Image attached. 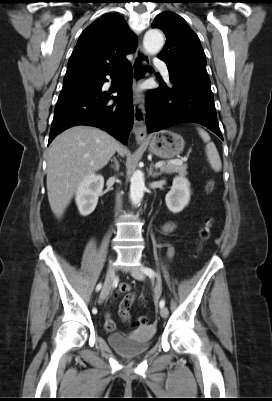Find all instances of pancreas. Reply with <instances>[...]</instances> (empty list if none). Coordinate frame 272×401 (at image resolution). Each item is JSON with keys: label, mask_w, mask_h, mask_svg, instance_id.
<instances>
[{"label": "pancreas", "mask_w": 272, "mask_h": 401, "mask_svg": "<svg viewBox=\"0 0 272 401\" xmlns=\"http://www.w3.org/2000/svg\"><path fill=\"white\" fill-rule=\"evenodd\" d=\"M161 173H178L180 175H186L187 174V164H171L167 163L164 164L162 167H160Z\"/></svg>", "instance_id": "1"}]
</instances>
